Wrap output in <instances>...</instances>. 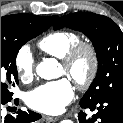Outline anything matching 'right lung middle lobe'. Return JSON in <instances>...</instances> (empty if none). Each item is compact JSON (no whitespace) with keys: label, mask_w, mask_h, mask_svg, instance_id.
<instances>
[{"label":"right lung middle lobe","mask_w":123,"mask_h":123,"mask_svg":"<svg viewBox=\"0 0 123 123\" xmlns=\"http://www.w3.org/2000/svg\"><path fill=\"white\" fill-rule=\"evenodd\" d=\"M48 28L43 22L1 26V99H12L10 88L18 84L16 56L19 49Z\"/></svg>","instance_id":"right-lung-middle-lobe-1"}]
</instances>
